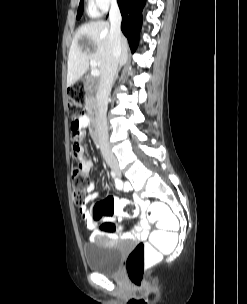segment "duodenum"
<instances>
[{"label": "duodenum", "mask_w": 247, "mask_h": 304, "mask_svg": "<svg viewBox=\"0 0 247 304\" xmlns=\"http://www.w3.org/2000/svg\"><path fill=\"white\" fill-rule=\"evenodd\" d=\"M86 108L89 109V113H93L92 119H89V128H90V136L93 137L94 143L97 145L99 142V136H98V128L96 124L97 114H98V106L96 104H93L92 106L90 104L86 105Z\"/></svg>", "instance_id": "obj_1"}]
</instances>
